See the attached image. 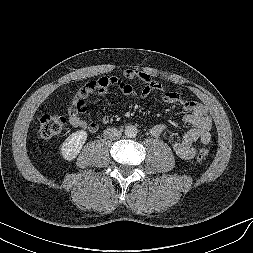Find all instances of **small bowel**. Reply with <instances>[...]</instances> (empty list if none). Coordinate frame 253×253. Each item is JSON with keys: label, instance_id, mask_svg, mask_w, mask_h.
<instances>
[{"label": "small bowel", "instance_id": "obj_1", "mask_svg": "<svg viewBox=\"0 0 253 253\" xmlns=\"http://www.w3.org/2000/svg\"><path fill=\"white\" fill-rule=\"evenodd\" d=\"M133 79H141L146 84L143 88L137 90L129 83ZM111 87H118L124 95L141 100L147 99L152 93H159L163 102L183 106L186 112L183 121L191 128L181 139H178L174 134L169 136V142L174 153L181 159L190 160L195 157L196 148L194 143L199 142L202 145L210 143L213 123L202 104L184 100L178 92L167 89L161 81L154 79L150 72L134 68L124 69L121 77H101L83 85L75 94L72 106L67 111L70 125L90 133L97 132L99 124L83 120L80 114L86 110L85 100L89 94L96 91L105 94ZM108 121V117H103L101 120L102 123ZM167 129L168 127L161 123L152 126L149 132L151 136L157 138Z\"/></svg>", "mask_w": 253, "mask_h": 253}]
</instances>
